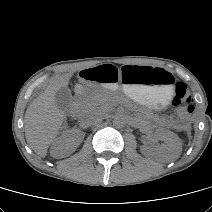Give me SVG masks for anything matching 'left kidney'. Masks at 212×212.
Masks as SVG:
<instances>
[{
	"instance_id": "obj_1",
	"label": "left kidney",
	"mask_w": 212,
	"mask_h": 212,
	"mask_svg": "<svg viewBox=\"0 0 212 212\" xmlns=\"http://www.w3.org/2000/svg\"><path fill=\"white\" fill-rule=\"evenodd\" d=\"M155 137L163 142L158 151L164 160L170 162L179 157L181 153V141L175 133L165 129H158L155 132ZM153 151L154 149L151 147H141V153L145 156H150Z\"/></svg>"
}]
</instances>
